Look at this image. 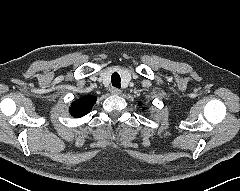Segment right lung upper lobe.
<instances>
[{"label": "right lung upper lobe", "mask_w": 240, "mask_h": 191, "mask_svg": "<svg viewBox=\"0 0 240 191\" xmlns=\"http://www.w3.org/2000/svg\"><path fill=\"white\" fill-rule=\"evenodd\" d=\"M96 102V97L85 96L71 104L70 114L75 118H81L89 113Z\"/></svg>", "instance_id": "right-lung-upper-lobe-1"}]
</instances>
